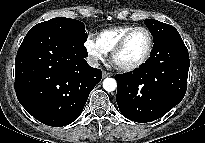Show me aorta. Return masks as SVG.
I'll return each instance as SVG.
<instances>
[{"instance_id": "aorta-1", "label": "aorta", "mask_w": 205, "mask_h": 143, "mask_svg": "<svg viewBox=\"0 0 205 143\" xmlns=\"http://www.w3.org/2000/svg\"><path fill=\"white\" fill-rule=\"evenodd\" d=\"M103 88L107 92L114 91L117 88V83L114 78H106L103 80Z\"/></svg>"}]
</instances>
